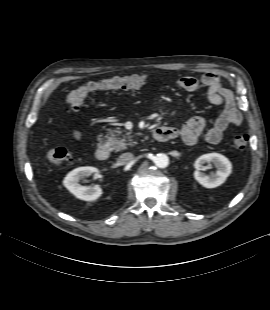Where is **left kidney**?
I'll return each mask as SVG.
<instances>
[{
  "mask_svg": "<svg viewBox=\"0 0 270 310\" xmlns=\"http://www.w3.org/2000/svg\"><path fill=\"white\" fill-rule=\"evenodd\" d=\"M212 163L216 172L205 174L204 164ZM196 171L194 172L195 180L206 188H215L223 184L232 172V164L224 155L219 153H208L200 156L195 161Z\"/></svg>",
  "mask_w": 270,
  "mask_h": 310,
  "instance_id": "left-kidney-1",
  "label": "left kidney"
}]
</instances>
